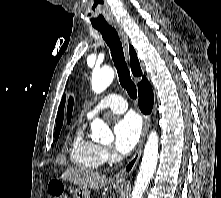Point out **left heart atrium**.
<instances>
[{"instance_id":"left-heart-atrium-1","label":"left heart atrium","mask_w":221,"mask_h":198,"mask_svg":"<svg viewBox=\"0 0 221 198\" xmlns=\"http://www.w3.org/2000/svg\"><path fill=\"white\" fill-rule=\"evenodd\" d=\"M116 149L123 154L133 150L141 134V122L130 114L118 120L113 129Z\"/></svg>"}]
</instances>
